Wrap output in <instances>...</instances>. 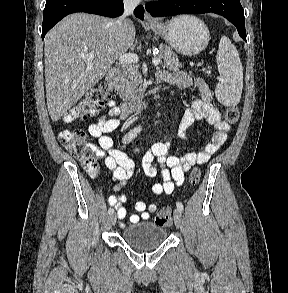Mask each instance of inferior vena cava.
I'll return each instance as SVG.
<instances>
[{"label":"inferior vena cava","instance_id":"602c4592","mask_svg":"<svg viewBox=\"0 0 288 293\" xmlns=\"http://www.w3.org/2000/svg\"><path fill=\"white\" fill-rule=\"evenodd\" d=\"M139 3H140V0H124V1H123V4H124V14H123L121 17H119V18L116 20V22H115L116 26H117L120 30L124 29L125 22H126V18H125V17H126L128 14H130V13L134 10V8H135L137 5H139Z\"/></svg>","mask_w":288,"mask_h":293}]
</instances>
